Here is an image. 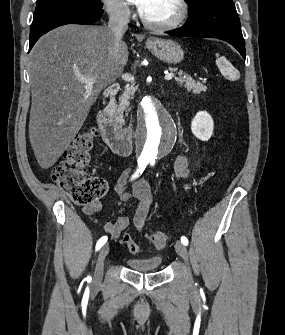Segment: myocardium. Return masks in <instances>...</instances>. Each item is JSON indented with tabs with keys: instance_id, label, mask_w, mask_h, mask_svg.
I'll list each match as a JSON object with an SVG mask.
<instances>
[{
	"instance_id": "1",
	"label": "myocardium",
	"mask_w": 285,
	"mask_h": 335,
	"mask_svg": "<svg viewBox=\"0 0 285 335\" xmlns=\"http://www.w3.org/2000/svg\"><path fill=\"white\" fill-rule=\"evenodd\" d=\"M174 3L179 9V14L175 20L156 26L148 23L146 20H144V18H142L141 21L144 27L157 33L167 32L178 28L187 19L189 14V7L186 1H174Z\"/></svg>"
}]
</instances>
